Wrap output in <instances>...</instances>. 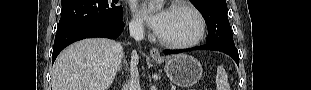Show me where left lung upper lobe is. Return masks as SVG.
Returning <instances> with one entry per match:
<instances>
[{
    "mask_svg": "<svg viewBox=\"0 0 311 90\" xmlns=\"http://www.w3.org/2000/svg\"><path fill=\"white\" fill-rule=\"evenodd\" d=\"M208 25V44L234 46L226 11V0H193Z\"/></svg>",
    "mask_w": 311,
    "mask_h": 90,
    "instance_id": "left-lung-upper-lobe-1",
    "label": "left lung upper lobe"
}]
</instances>
